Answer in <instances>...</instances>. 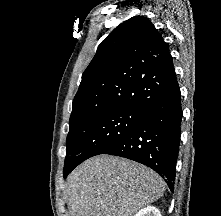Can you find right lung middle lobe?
I'll return each instance as SVG.
<instances>
[{
  "label": "right lung middle lobe",
  "mask_w": 221,
  "mask_h": 216,
  "mask_svg": "<svg viewBox=\"0 0 221 216\" xmlns=\"http://www.w3.org/2000/svg\"><path fill=\"white\" fill-rule=\"evenodd\" d=\"M141 110L137 108L111 110L69 126L64 177L68 174L69 167H76L84 160L102 154L126 137L136 127Z\"/></svg>",
  "instance_id": "dd1d6c3e"
}]
</instances>
